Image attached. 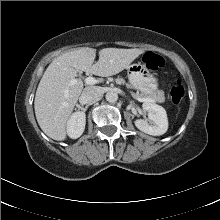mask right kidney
I'll use <instances>...</instances> for the list:
<instances>
[{
    "label": "right kidney",
    "instance_id": "1",
    "mask_svg": "<svg viewBox=\"0 0 220 220\" xmlns=\"http://www.w3.org/2000/svg\"><path fill=\"white\" fill-rule=\"evenodd\" d=\"M86 115L83 111H78L72 114L67 122V134L70 138H79L85 129Z\"/></svg>",
    "mask_w": 220,
    "mask_h": 220
}]
</instances>
